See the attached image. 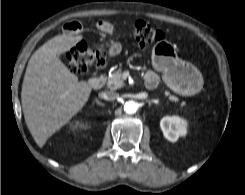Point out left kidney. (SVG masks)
<instances>
[{
    "instance_id": "1",
    "label": "left kidney",
    "mask_w": 245,
    "mask_h": 195,
    "mask_svg": "<svg viewBox=\"0 0 245 195\" xmlns=\"http://www.w3.org/2000/svg\"><path fill=\"white\" fill-rule=\"evenodd\" d=\"M160 127L164 137L171 142H176L180 136L187 133V122L177 116L163 117L160 121Z\"/></svg>"
}]
</instances>
